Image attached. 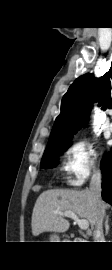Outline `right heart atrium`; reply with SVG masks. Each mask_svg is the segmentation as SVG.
<instances>
[{
  "mask_svg": "<svg viewBox=\"0 0 112 270\" xmlns=\"http://www.w3.org/2000/svg\"><path fill=\"white\" fill-rule=\"evenodd\" d=\"M61 170L66 183L81 186L100 171L96 146L84 139L72 142L63 153Z\"/></svg>",
  "mask_w": 112,
  "mask_h": 270,
  "instance_id": "1",
  "label": "right heart atrium"
}]
</instances>
